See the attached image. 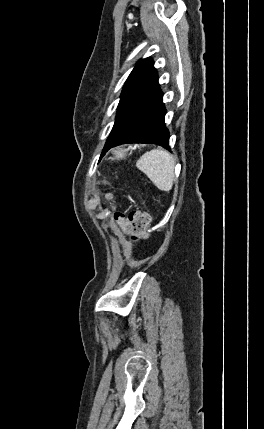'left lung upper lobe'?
I'll return each mask as SVG.
<instances>
[{
  "label": "left lung upper lobe",
  "mask_w": 264,
  "mask_h": 429,
  "mask_svg": "<svg viewBox=\"0 0 264 429\" xmlns=\"http://www.w3.org/2000/svg\"><path fill=\"white\" fill-rule=\"evenodd\" d=\"M158 86V76L153 61L150 58L139 61L125 82L115 124L104 148L120 136L137 106Z\"/></svg>",
  "instance_id": "1"
}]
</instances>
